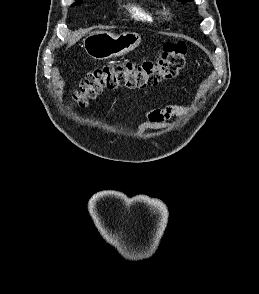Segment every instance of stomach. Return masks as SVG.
Segmentation results:
<instances>
[{
  "label": "stomach",
  "instance_id": "1",
  "mask_svg": "<svg viewBox=\"0 0 259 294\" xmlns=\"http://www.w3.org/2000/svg\"><path fill=\"white\" fill-rule=\"evenodd\" d=\"M141 42L135 32L115 35L108 31L91 32L83 40V46L89 56L98 60L119 57L134 50Z\"/></svg>",
  "mask_w": 259,
  "mask_h": 294
}]
</instances>
